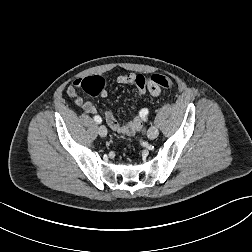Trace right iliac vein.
Returning a JSON list of instances; mask_svg holds the SVG:
<instances>
[{
    "instance_id": "right-iliac-vein-1",
    "label": "right iliac vein",
    "mask_w": 252,
    "mask_h": 252,
    "mask_svg": "<svg viewBox=\"0 0 252 252\" xmlns=\"http://www.w3.org/2000/svg\"><path fill=\"white\" fill-rule=\"evenodd\" d=\"M98 133L101 137H105L107 135V129L105 126H100L98 129Z\"/></svg>"
}]
</instances>
